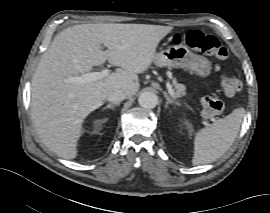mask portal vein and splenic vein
Listing matches in <instances>:
<instances>
[{"mask_svg":"<svg viewBox=\"0 0 270 213\" xmlns=\"http://www.w3.org/2000/svg\"><path fill=\"white\" fill-rule=\"evenodd\" d=\"M109 74L108 69H103L101 72H89L86 74H83L81 76H69L65 79L67 83H76V84H85L87 82L97 81L104 77H106ZM167 90L169 94L175 98V92L172 88V85L167 82L166 83Z\"/></svg>","mask_w":270,"mask_h":213,"instance_id":"18ae733b","label":"portal vein and splenic vein"}]
</instances>
